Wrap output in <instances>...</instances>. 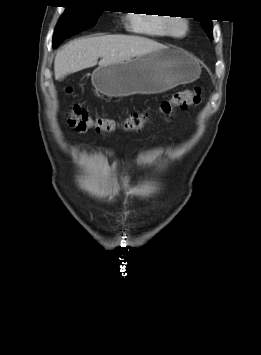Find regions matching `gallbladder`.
<instances>
[{"label": "gallbladder", "mask_w": 261, "mask_h": 355, "mask_svg": "<svg viewBox=\"0 0 261 355\" xmlns=\"http://www.w3.org/2000/svg\"><path fill=\"white\" fill-rule=\"evenodd\" d=\"M64 79V76H62L59 80L61 81V80H63Z\"/></svg>", "instance_id": "1"}]
</instances>
